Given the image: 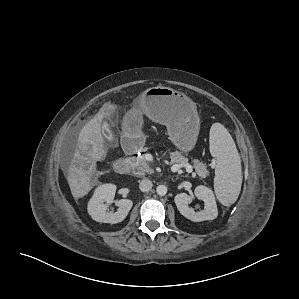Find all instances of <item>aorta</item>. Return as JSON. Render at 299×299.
<instances>
[{
	"label": "aorta",
	"mask_w": 299,
	"mask_h": 299,
	"mask_svg": "<svg viewBox=\"0 0 299 299\" xmlns=\"http://www.w3.org/2000/svg\"><path fill=\"white\" fill-rule=\"evenodd\" d=\"M156 192L160 196H164L167 193V187L165 185H159L156 188Z\"/></svg>",
	"instance_id": "aorta-1"
}]
</instances>
